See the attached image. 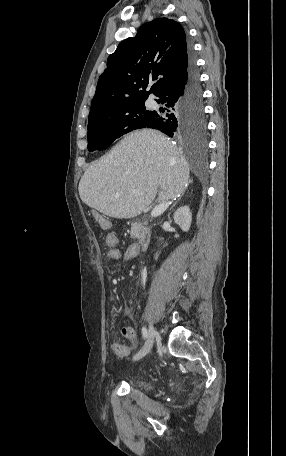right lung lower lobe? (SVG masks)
Listing matches in <instances>:
<instances>
[{"mask_svg": "<svg viewBox=\"0 0 286 456\" xmlns=\"http://www.w3.org/2000/svg\"><path fill=\"white\" fill-rule=\"evenodd\" d=\"M157 97L159 99L156 101L165 104L169 109L164 116L161 112H155L147 125L148 128L161 130L170 137L202 136L205 133L202 90L192 53L186 76L166 88ZM193 124L202 125L203 132L190 133L188 129Z\"/></svg>", "mask_w": 286, "mask_h": 456, "instance_id": "obj_1", "label": "right lung lower lobe"}]
</instances>
